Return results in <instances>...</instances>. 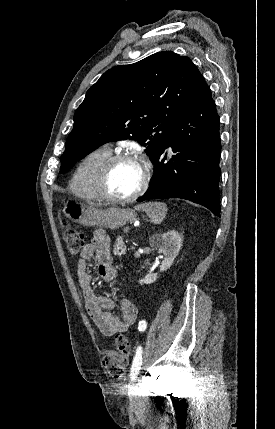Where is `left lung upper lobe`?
<instances>
[{
    "instance_id": "obj_1",
    "label": "left lung upper lobe",
    "mask_w": 275,
    "mask_h": 429,
    "mask_svg": "<svg viewBox=\"0 0 275 429\" xmlns=\"http://www.w3.org/2000/svg\"><path fill=\"white\" fill-rule=\"evenodd\" d=\"M200 75L188 57L171 51L106 71L75 112L60 172L99 146L124 139L139 141L153 161L187 107Z\"/></svg>"
}]
</instances>
